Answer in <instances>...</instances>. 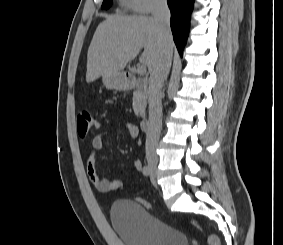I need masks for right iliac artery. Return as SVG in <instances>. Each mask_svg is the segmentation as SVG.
Segmentation results:
<instances>
[{"instance_id":"right-iliac-artery-1","label":"right iliac artery","mask_w":283,"mask_h":245,"mask_svg":"<svg viewBox=\"0 0 283 245\" xmlns=\"http://www.w3.org/2000/svg\"><path fill=\"white\" fill-rule=\"evenodd\" d=\"M150 172H151V171H150V168L145 165V166L143 167V175L147 177V176L150 175Z\"/></svg>"}]
</instances>
